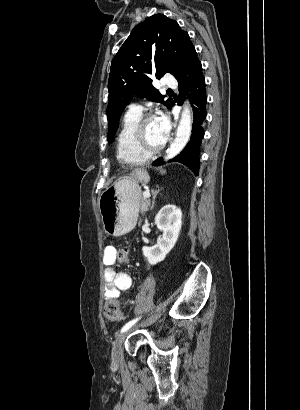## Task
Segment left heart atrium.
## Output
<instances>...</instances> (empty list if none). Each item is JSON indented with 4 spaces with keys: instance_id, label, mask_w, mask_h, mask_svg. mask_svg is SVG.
I'll return each mask as SVG.
<instances>
[{
    "instance_id": "39dd6f15",
    "label": "left heart atrium",
    "mask_w": 300,
    "mask_h": 410,
    "mask_svg": "<svg viewBox=\"0 0 300 410\" xmlns=\"http://www.w3.org/2000/svg\"><path fill=\"white\" fill-rule=\"evenodd\" d=\"M154 120L156 122V125L160 133L166 140L169 135V131H170V122H169L168 117L164 113L160 112L156 115Z\"/></svg>"
}]
</instances>
